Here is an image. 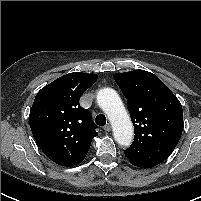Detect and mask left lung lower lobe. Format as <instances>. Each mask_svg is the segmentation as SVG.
<instances>
[{
	"label": "left lung lower lobe",
	"mask_w": 201,
	"mask_h": 201,
	"mask_svg": "<svg viewBox=\"0 0 201 201\" xmlns=\"http://www.w3.org/2000/svg\"><path fill=\"white\" fill-rule=\"evenodd\" d=\"M142 168H150V167H142Z\"/></svg>",
	"instance_id": "left-lung-lower-lobe-1"
}]
</instances>
